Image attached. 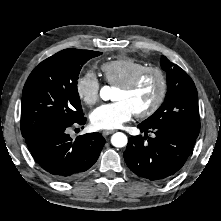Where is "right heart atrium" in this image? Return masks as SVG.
<instances>
[{
	"mask_svg": "<svg viewBox=\"0 0 221 221\" xmlns=\"http://www.w3.org/2000/svg\"><path fill=\"white\" fill-rule=\"evenodd\" d=\"M79 99L86 105H93L99 100L100 81L93 71L81 74L75 83Z\"/></svg>",
	"mask_w": 221,
	"mask_h": 221,
	"instance_id": "d8ad5b80",
	"label": "right heart atrium"
}]
</instances>
